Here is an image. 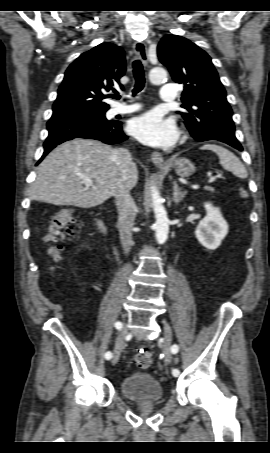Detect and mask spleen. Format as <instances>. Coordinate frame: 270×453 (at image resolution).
Wrapping results in <instances>:
<instances>
[{"instance_id": "obj_1", "label": "spleen", "mask_w": 270, "mask_h": 453, "mask_svg": "<svg viewBox=\"0 0 270 453\" xmlns=\"http://www.w3.org/2000/svg\"><path fill=\"white\" fill-rule=\"evenodd\" d=\"M201 149L211 150L215 152L220 160L221 166L227 170L232 172L235 176L239 178H247V170L239 160L237 156H235L232 152L223 148L222 146H218L215 144H206Z\"/></svg>"}]
</instances>
